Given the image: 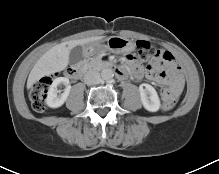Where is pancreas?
<instances>
[{
    "mask_svg": "<svg viewBox=\"0 0 219 174\" xmlns=\"http://www.w3.org/2000/svg\"><path fill=\"white\" fill-rule=\"evenodd\" d=\"M103 64L104 62L101 60L100 55L89 58L85 61V66L89 69H99Z\"/></svg>",
    "mask_w": 219,
    "mask_h": 174,
    "instance_id": "cf45deb5",
    "label": "pancreas"
}]
</instances>
